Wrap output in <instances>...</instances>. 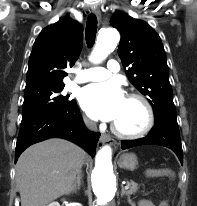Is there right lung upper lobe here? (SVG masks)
Returning a JSON list of instances; mask_svg holds the SVG:
<instances>
[{
  "label": "right lung upper lobe",
  "instance_id": "right-lung-upper-lobe-1",
  "mask_svg": "<svg viewBox=\"0 0 197 206\" xmlns=\"http://www.w3.org/2000/svg\"><path fill=\"white\" fill-rule=\"evenodd\" d=\"M82 27L69 17L44 28L29 58L26 88L64 85V71L77 61L82 49Z\"/></svg>",
  "mask_w": 197,
  "mask_h": 206
}]
</instances>
